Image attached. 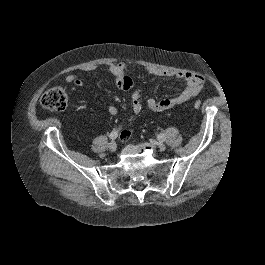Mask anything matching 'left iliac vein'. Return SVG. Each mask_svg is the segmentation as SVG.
Returning a JSON list of instances; mask_svg holds the SVG:
<instances>
[{"mask_svg":"<svg viewBox=\"0 0 265 265\" xmlns=\"http://www.w3.org/2000/svg\"><path fill=\"white\" fill-rule=\"evenodd\" d=\"M152 144H153V145L156 144V145L159 147V149H160L161 151L165 150V148H166L165 144H163V143H161V142H158V141L152 142Z\"/></svg>","mask_w":265,"mask_h":265,"instance_id":"4c4485c4","label":"left iliac vein"}]
</instances>
